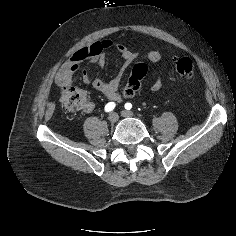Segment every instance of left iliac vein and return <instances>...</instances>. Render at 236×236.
I'll return each instance as SVG.
<instances>
[{"instance_id": "1", "label": "left iliac vein", "mask_w": 236, "mask_h": 236, "mask_svg": "<svg viewBox=\"0 0 236 236\" xmlns=\"http://www.w3.org/2000/svg\"><path fill=\"white\" fill-rule=\"evenodd\" d=\"M121 115L126 118H131L134 116V114L131 111H127V110L122 111Z\"/></svg>"}]
</instances>
